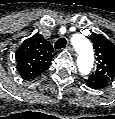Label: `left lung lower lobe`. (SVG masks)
<instances>
[{
    "label": "left lung lower lobe",
    "instance_id": "0a47b994",
    "mask_svg": "<svg viewBox=\"0 0 115 119\" xmlns=\"http://www.w3.org/2000/svg\"><path fill=\"white\" fill-rule=\"evenodd\" d=\"M85 82L91 88L102 89L108 85L109 81L100 76L92 74L85 80Z\"/></svg>",
    "mask_w": 115,
    "mask_h": 119
}]
</instances>
